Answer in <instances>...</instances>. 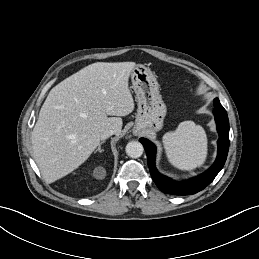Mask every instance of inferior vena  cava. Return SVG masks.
<instances>
[{"instance_id": "obj_1", "label": "inferior vena cava", "mask_w": 259, "mask_h": 259, "mask_svg": "<svg viewBox=\"0 0 259 259\" xmlns=\"http://www.w3.org/2000/svg\"><path fill=\"white\" fill-rule=\"evenodd\" d=\"M115 134V131L113 129H106L102 134H101V140H105L109 138L111 135Z\"/></svg>"}]
</instances>
